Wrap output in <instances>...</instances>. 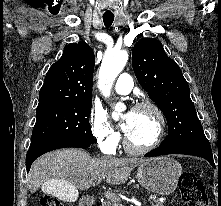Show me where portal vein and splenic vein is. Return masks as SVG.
<instances>
[{
    "mask_svg": "<svg viewBox=\"0 0 221 206\" xmlns=\"http://www.w3.org/2000/svg\"><path fill=\"white\" fill-rule=\"evenodd\" d=\"M105 195H106V197L109 198V199H115V195H113L112 193H106ZM150 199H151V200H155L156 197H155V196H150Z\"/></svg>",
    "mask_w": 221,
    "mask_h": 206,
    "instance_id": "18ae733b",
    "label": "portal vein and splenic vein"
}]
</instances>
